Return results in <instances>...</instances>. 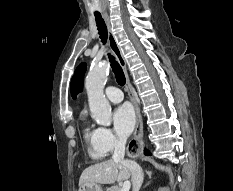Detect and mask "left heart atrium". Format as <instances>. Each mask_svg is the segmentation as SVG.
I'll list each match as a JSON object with an SVG mask.
<instances>
[{
	"label": "left heart atrium",
	"mask_w": 233,
	"mask_h": 191,
	"mask_svg": "<svg viewBox=\"0 0 233 191\" xmlns=\"http://www.w3.org/2000/svg\"><path fill=\"white\" fill-rule=\"evenodd\" d=\"M135 124V113L129 104H123L114 111L113 125L119 135L123 137L130 135Z\"/></svg>",
	"instance_id": "left-heart-atrium-1"
}]
</instances>
